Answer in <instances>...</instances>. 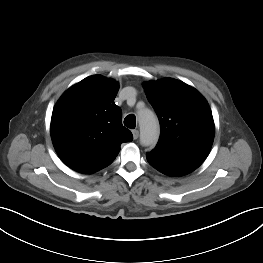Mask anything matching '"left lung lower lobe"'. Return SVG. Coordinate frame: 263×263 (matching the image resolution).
I'll use <instances>...</instances> for the list:
<instances>
[{"label": "left lung lower lobe", "mask_w": 263, "mask_h": 263, "mask_svg": "<svg viewBox=\"0 0 263 263\" xmlns=\"http://www.w3.org/2000/svg\"><path fill=\"white\" fill-rule=\"evenodd\" d=\"M146 158L152 167L169 176L186 175L203 162L200 160L171 158L154 151L148 152Z\"/></svg>", "instance_id": "1"}]
</instances>
